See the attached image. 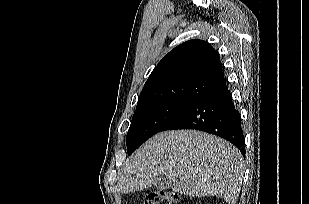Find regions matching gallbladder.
Instances as JSON below:
<instances>
[{
  "label": "gallbladder",
  "mask_w": 309,
  "mask_h": 204,
  "mask_svg": "<svg viewBox=\"0 0 309 204\" xmlns=\"http://www.w3.org/2000/svg\"><path fill=\"white\" fill-rule=\"evenodd\" d=\"M172 185L171 179L166 176H159L156 178L154 188L157 190L169 189Z\"/></svg>",
  "instance_id": "gallbladder-1"
}]
</instances>
